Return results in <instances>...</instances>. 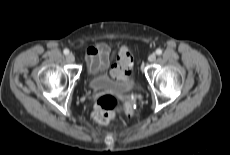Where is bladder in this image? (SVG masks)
I'll list each match as a JSON object with an SVG mask.
<instances>
[{"mask_svg":"<svg viewBox=\"0 0 230 155\" xmlns=\"http://www.w3.org/2000/svg\"><path fill=\"white\" fill-rule=\"evenodd\" d=\"M89 85L95 90L108 89L117 93H124L133 87L134 81L133 79L115 80L106 75H99L91 77Z\"/></svg>","mask_w":230,"mask_h":155,"instance_id":"obj_1","label":"bladder"}]
</instances>
